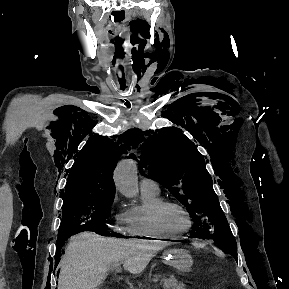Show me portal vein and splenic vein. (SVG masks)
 <instances>
[{
  "label": "portal vein and splenic vein",
  "instance_id": "18ae733b",
  "mask_svg": "<svg viewBox=\"0 0 289 289\" xmlns=\"http://www.w3.org/2000/svg\"><path fill=\"white\" fill-rule=\"evenodd\" d=\"M118 267H119V264H115V265H114V268L118 269ZM167 287H169V285H165L164 288H167Z\"/></svg>",
  "mask_w": 289,
  "mask_h": 289
}]
</instances>
